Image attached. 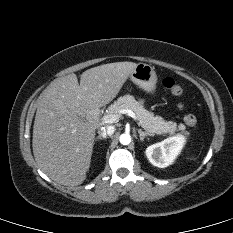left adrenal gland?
Returning <instances> with one entry per match:
<instances>
[{
	"label": "left adrenal gland",
	"mask_w": 233,
	"mask_h": 233,
	"mask_svg": "<svg viewBox=\"0 0 233 233\" xmlns=\"http://www.w3.org/2000/svg\"><path fill=\"white\" fill-rule=\"evenodd\" d=\"M138 133H139V137H140V140L143 142L145 137L147 136H152V134L148 133V132H144L142 131L141 129H138Z\"/></svg>",
	"instance_id": "a2214340"
}]
</instances>
